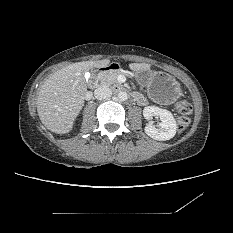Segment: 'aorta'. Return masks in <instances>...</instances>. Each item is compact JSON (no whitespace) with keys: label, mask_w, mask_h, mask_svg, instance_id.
Instances as JSON below:
<instances>
[{"label":"aorta","mask_w":233,"mask_h":233,"mask_svg":"<svg viewBox=\"0 0 233 233\" xmlns=\"http://www.w3.org/2000/svg\"><path fill=\"white\" fill-rule=\"evenodd\" d=\"M117 97L120 101H126L128 99V94L125 91H120Z\"/></svg>","instance_id":"762f6f07"}]
</instances>
